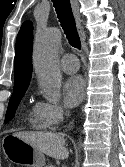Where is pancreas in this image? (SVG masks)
I'll return each instance as SVG.
<instances>
[{
	"instance_id": "1",
	"label": "pancreas",
	"mask_w": 125,
	"mask_h": 167,
	"mask_svg": "<svg viewBox=\"0 0 125 167\" xmlns=\"http://www.w3.org/2000/svg\"><path fill=\"white\" fill-rule=\"evenodd\" d=\"M45 167H55V166H53L52 164H48V165L45 166Z\"/></svg>"
}]
</instances>
